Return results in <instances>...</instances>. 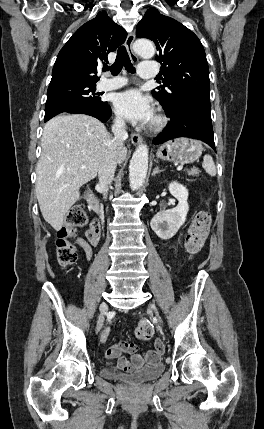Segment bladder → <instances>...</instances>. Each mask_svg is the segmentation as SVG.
<instances>
[{"label":"bladder","instance_id":"31cf9c89","mask_svg":"<svg viewBox=\"0 0 264 429\" xmlns=\"http://www.w3.org/2000/svg\"><path fill=\"white\" fill-rule=\"evenodd\" d=\"M165 370L161 360L155 364L144 366L130 372H116L107 368L101 370V375L107 379L116 380L133 386L142 385L157 379Z\"/></svg>","mask_w":264,"mask_h":429}]
</instances>
